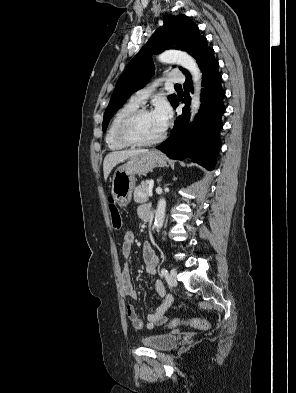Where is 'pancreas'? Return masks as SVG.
I'll list each match as a JSON object with an SVG mask.
<instances>
[{
	"label": "pancreas",
	"instance_id": "pancreas-1",
	"mask_svg": "<svg viewBox=\"0 0 296 393\" xmlns=\"http://www.w3.org/2000/svg\"><path fill=\"white\" fill-rule=\"evenodd\" d=\"M147 181H142L140 185L135 188L134 201L136 203H145L148 200L149 187Z\"/></svg>",
	"mask_w": 296,
	"mask_h": 393
}]
</instances>
